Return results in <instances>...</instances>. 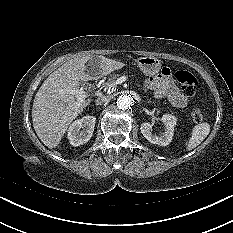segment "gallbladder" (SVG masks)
Returning <instances> with one entry per match:
<instances>
[{"mask_svg": "<svg viewBox=\"0 0 233 233\" xmlns=\"http://www.w3.org/2000/svg\"><path fill=\"white\" fill-rule=\"evenodd\" d=\"M100 60L99 57L94 56L92 57L89 61H88V72L91 73L92 72V66L95 65L98 61Z\"/></svg>", "mask_w": 233, "mask_h": 233, "instance_id": "obj_1", "label": "gallbladder"}]
</instances>
